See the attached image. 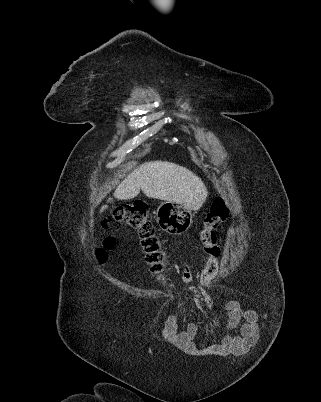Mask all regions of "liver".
Masks as SVG:
<instances>
[{
  "label": "liver",
  "instance_id": "6515ba94",
  "mask_svg": "<svg viewBox=\"0 0 321 402\" xmlns=\"http://www.w3.org/2000/svg\"><path fill=\"white\" fill-rule=\"evenodd\" d=\"M140 190L149 198L182 203L191 210L200 209L208 195L206 186L192 171L167 161L142 164L118 185L113 195L129 200ZM111 201L109 198L108 202ZM106 208L102 206L100 212Z\"/></svg>",
  "mask_w": 321,
  "mask_h": 402
}]
</instances>
